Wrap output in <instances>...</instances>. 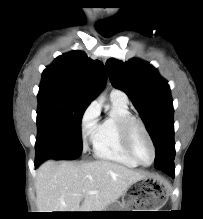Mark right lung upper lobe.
Returning <instances> with one entry per match:
<instances>
[{"instance_id":"1","label":"right lung upper lobe","mask_w":203,"mask_h":219,"mask_svg":"<svg viewBox=\"0 0 203 219\" xmlns=\"http://www.w3.org/2000/svg\"><path fill=\"white\" fill-rule=\"evenodd\" d=\"M105 80L102 62L88 58L82 51H72L57 57L43 71L40 90L61 92L91 103Z\"/></svg>"}]
</instances>
